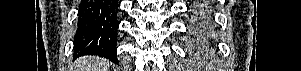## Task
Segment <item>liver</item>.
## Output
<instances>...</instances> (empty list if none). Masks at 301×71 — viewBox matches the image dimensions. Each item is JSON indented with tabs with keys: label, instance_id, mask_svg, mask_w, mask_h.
<instances>
[{
	"label": "liver",
	"instance_id": "obj_1",
	"mask_svg": "<svg viewBox=\"0 0 301 71\" xmlns=\"http://www.w3.org/2000/svg\"><path fill=\"white\" fill-rule=\"evenodd\" d=\"M81 71H106L109 63L98 57L86 56L78 62Z\"/></svg>",
	"mask_w": 301,
	"mask_h": 71
}]
</instances>
